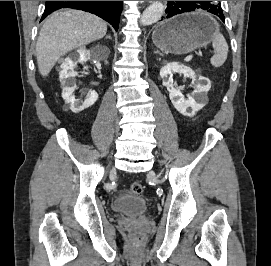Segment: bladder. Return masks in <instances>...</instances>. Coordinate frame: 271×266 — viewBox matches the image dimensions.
<instances>
[{
    "label": "bladder",
    "instance_id": "bladder-1",
    "mask_svg": "<svg viewBox=\"0 0 271 266\" xmlns=\"http://www.w3.org/2000/svg\"><path fill=\"white\" fill-rule=\"evenodd\" d=\"M148 209L146 201L139 197L128 194L120 195L112 204L115 213L124 215L128 218H135L144 214Z\"/></svg>",
    "mask_w": 271,
    "mask_h": 266
}]
</instances>
